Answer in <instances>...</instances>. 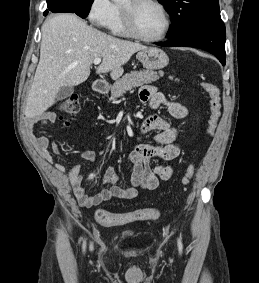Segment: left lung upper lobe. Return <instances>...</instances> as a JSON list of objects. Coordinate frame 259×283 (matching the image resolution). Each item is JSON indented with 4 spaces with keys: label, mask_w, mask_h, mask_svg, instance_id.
Returning <instances> with one entry per match:
<instances>
[{
    "label": "left lung upper lobe",
    "mask_w": 259,
    "mask_h": 283,
    "mask_svg": "<svg viewBox=\"0 0 259 283\" xmlns=\"http://www.w3.org/2000/svg\"><path fill=\"white\" fill-rule=\"evenodd\" d=\"M172 19L169 39L190 34L221 19L218 0H158Z\"/></svg>",
    "instance_id": "obj_1"
}]
</instances>
